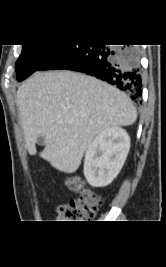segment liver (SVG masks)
Instances as JSON below:
<instances>
[{"label":"liver","mask_w":166,"mask_h":267,"mask_svg":"<svg viewBox=\"0 0 166 267\" xmlns=\"http://www.w3.org/2000/svg\"><path fill=\"white\" fill-rule=\"evenodd\" d=\"M26 148L64 173H74L95 136L105 129L132 125L137 111L130 98L98 79L71 71L37 72L17 91Z\"/></svg>","instance_id":"6515ba94"}]
</instances>
